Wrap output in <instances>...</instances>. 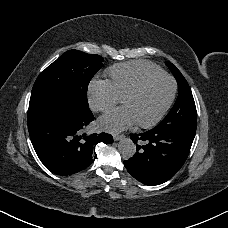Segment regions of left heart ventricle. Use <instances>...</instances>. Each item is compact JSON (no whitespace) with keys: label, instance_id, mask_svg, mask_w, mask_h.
<instances>
[{"label":"left heart ventricle","instance_id":"1","mask_svg":"<svg viewBox=\"0 0 228 228\" xmlns=\"http://www.w3.org/2000/svg\"><path fill=\"white\" fill-rule=\"evenodd\" d=\"M171 83L167 79H159L139 96L125 101L138 122L151 121L161 110L170 93Z\"/></svg>","mask_w":228,"mask_h":228}]
</instances>
